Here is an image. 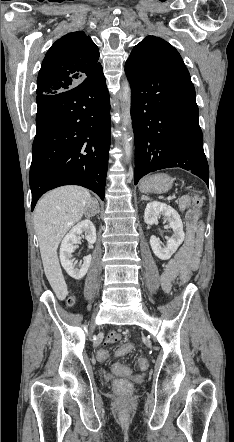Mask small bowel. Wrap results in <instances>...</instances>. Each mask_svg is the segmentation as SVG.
<instances>
[{
  "label": "small bowel",
  "mask_w": 234,
  "mask_h": 442,
  "mask_svg": "<svg viewBox=\"0 0 234 442\" xmlns=\"http://www.w3.org/2000/svg\"><path fill=\"white\" fill-rule=\"evenodd\" d=\"M189 205V197L184 196L179 202L180 210L185 213V217L188 223V239L184 245L178 250L172 259H170L164 266L163 273L161 275V284L166 292H169L175 282L177 276L189 269L191 263L192 249H191V236L196 227L197 216L193 213L187 212ZM118 340V335L111 333L108 337L106 344L115 342ZM132 347V346H131ZM124 356V355H122Z\"/></svg>",
  "instance_id": "small-bowel-1"
}]
</instances>
